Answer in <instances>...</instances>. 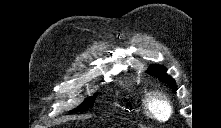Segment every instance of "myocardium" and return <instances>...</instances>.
Masks as SVG:
<instances>
[{"label": "myocardium", "instance_id": "obj_1", "mask_svg": "<svg viewBox=\"0 0 221 128\" xmlns=\"http://www.w3.org/2000/svg\"><path fill=\"white\" fill-rule=\"evenodd\" d=\"M144 106L146 113L159 121L168 120L173 113V107L169 98L160 91L149 93L145 98Z\"/></svg>", "mask_w": 221, "mask_h": 128}]
</instances>
